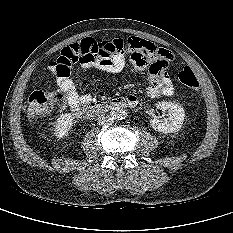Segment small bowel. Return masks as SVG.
<instances>
[{
  "label": "small bowel",
  "instance_id": "1",
  "mask_svg": "<svg viewBox=\"0 0 233 233\" xmlns=\"http://www.w3.org/2000/svg\"><path fill=\"white\" fill-rule=\"evenodd\" d=\"M173 59L174 55L168 49L157 47L146 40L130 38L125 43V58L123 55H115L105 62L86 63L82 66V72L86 74L96 69L109 74H117L124 69L127 61L135 73L144 71L149 74L151 85L148 88V94L150 97L171 96L174 93V87L167 73V66ZM49 68L56 80L57 91L64 97L60 106L62 108L69 106L78 115L79 108L90 102L91 96L80 94L70 74H58L53 62L50 63Z\"/></svg>",
  "mask_w": 233,
  "mask_h": 233
}]
</instances>
